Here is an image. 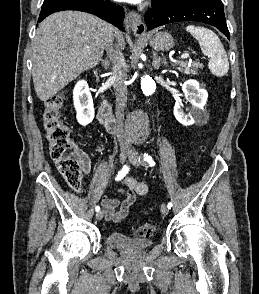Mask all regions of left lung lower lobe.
I'll return each mask as SVG.
<instances>
[{
	"label": "left lung lower lobe",
	"mask_w": 259,
	"mask_h": 294,
	"mask_svg": "<svg viewBox=\"0 0 259 294\" xmlns=\"http://www.w3.org/2000/svg\"><path fill=\"white\" fill-rule=\"evenodd\" d=\"M179 21H198L218 28L227 38L229 31L221 0H152V8L145 14L149 30Z\"/></svg>",
	"instance_id": "obj_1"
}]
</instances>
